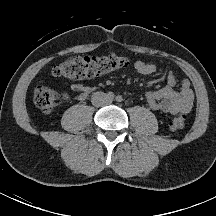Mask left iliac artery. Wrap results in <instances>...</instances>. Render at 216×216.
<instances>
[{"label":"left iliac artery","instance_id":"44dca946","mask_svg":"<svg viewBox=\"0 0 216 216\" xmlns=\"http://www.w3.org/2000/svg\"><path fill=\"white\" fill-rule=\"evenodd\" d=\"M122 100H123L122 96L118 95V96L116 97V101H117V102H121Z\"/></svg>","mask_w":216,"mask_h":216}]
</instances>
